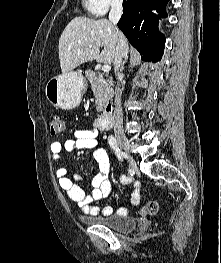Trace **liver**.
<instances>
[{"label": "liver", "instance_id": "liver-1", "mask_svg": "<svg viewBox=\"0 0 221 263\" xmlns=\"http://www.w3.org/2000/svg\"><path fill=\"white\" fill-rule=\"evenodd\" d=\"M118 33L124 41L122 58L125 59L128 58V41L110 21L82 16L72 19L59 39V60L62 72H69L95 59L98 62L112 64L119 38ZM100 47H103L101 52Z\"/></svg>", "mask_w": 221, "mask_h": 263}]
</instances>
